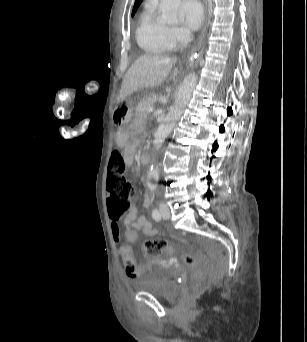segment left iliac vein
Listing matches in <instances>:
<instances>
[{"label": "left iliac vein", "mask_w": 307, "mask_h": 342, "mask_svg": "<svg viewBox=\"0 0 307 342\" xmlns=\"http://www.w3.org/2000/svg\"><path fill=\"white\" fill-rule=\"evenodd\" d=\"M160 212H161L162 218L164 219H169L171 216L169 208L165 205L160 206Z\"/></svg>", "instance_id": "left-iliac-vein-1"}]
</instances>
